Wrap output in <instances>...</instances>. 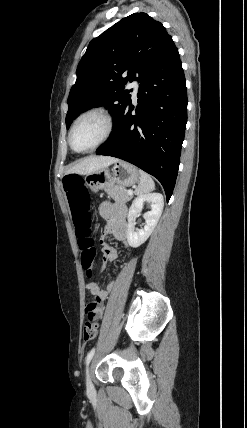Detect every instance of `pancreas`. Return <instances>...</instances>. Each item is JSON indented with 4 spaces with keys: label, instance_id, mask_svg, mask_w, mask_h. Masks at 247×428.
Segmentation results:
<instances>
[{
    "label": "pancreas",
    "instance_id": "obj_1",
    "mask_svg": "<svg viewBox=\"0 0 247 428\" xmlns=\"http://www.w3.org/2000/svg\"><path fill=\"white\" fill-rule=\"evenodd\" d=\"M105 192L117 203H126L132 199V195H129L126 188L121 185L111 186L105 189Z\"/></svg>",
    "mask_w": 247,
    "mask_h": 428
}]
</instances>
